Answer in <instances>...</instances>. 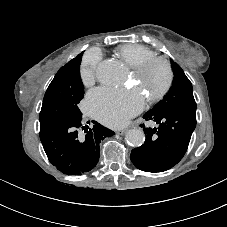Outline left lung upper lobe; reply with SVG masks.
Instances as JSON below:
<instances>
[{
	"label": "left lung upper lobe",
	"mask_w": 227,
	"mask_h": 227,
	"mask_svg": "<svg viewBox=\"0 0 227 227\" xmlns=\"http://www.w3.org/2000/svg\"><path fill=\"white\" fill-rule=\"evenodd\" d=\"M171 64L174 72L172 86L164 99L150 111L162 113L178 110L196 114V102L193 97L192 84L177 63L171 61Z\"/></svg>",
	"instance_id": "5c2ea615"
}]
</instances>
